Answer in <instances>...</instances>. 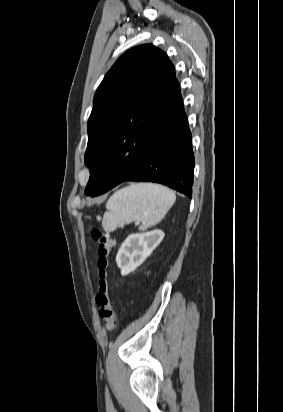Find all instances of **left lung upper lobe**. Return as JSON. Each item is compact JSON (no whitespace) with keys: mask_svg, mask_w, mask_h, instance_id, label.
Returning a JSON list of instances; mask_svg holds the SVG:
<instances>
[{"mask_svg":"<svg viewBox=\"0 0 283 412\" xmlns=\"http://www.w3.org/2000/svg\"><path fill=\"white\" fill-rule=\"evenodd\" d=\"M180 95L168 56L152 44L128 50L98 87L88 121L85 164L90 178L85 194H99L93 175L108 153L138 160L158 123ZM104 157V158H105Z\"/></svg>","mask_w":283,"mask_h":412,"instance_id":"obj_1","label":"left lung upper lobe"}]
</instances>
